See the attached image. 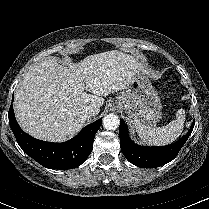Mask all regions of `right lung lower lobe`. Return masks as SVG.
<instances>
[{
  "mask_svg": "<svg viewBox=\"0 0 209 209\" xmlns=\"http://www.w3.org/2000/svg\"><path fill=\"white\" fill-rule=\"evenodd\" d=\"M8 117L10 127L22 150L49 169H71L86 161L92 151L95 134L101 125V119H98L82 129L73 139L63 143H51L37 140L25 133L15 119L12 105Z\"/></svg>",
  "mask_w": 209,
  "mask_h": 209,
  "instance_id": "98d812e1",
  "label": "right lung lower lobe"
}]
</instances>
